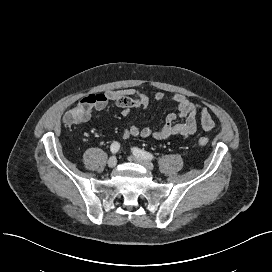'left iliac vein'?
I'll return each mask as SVG.
<instances>
[{"label":"left iliac vein","mask_w":272,"mask_h":272,"mask_svg":"<svg viewBox=\"0 0 272 272\" xmlns=\"http://www.w3.org/2000/svg\"><path fill=\"white\" fill-rule=\"evenodd\" d=\"M130 160L135 161L139 164H141L142 166H144L145 168H147L148 170H153L154 169V165L152 162L145 160L141 157L138 156H130Z\"/></svg>","instance_id":"left-iliac-vein-1"}]
</instances>
